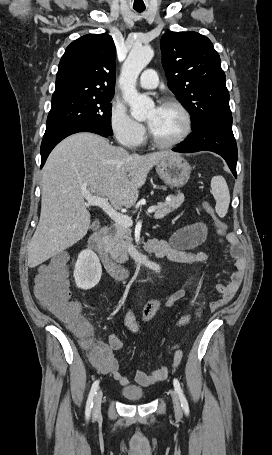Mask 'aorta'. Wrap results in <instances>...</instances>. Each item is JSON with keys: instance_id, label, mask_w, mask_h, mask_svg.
<instances>
[{"instance_id": "1", "label": "aorta", "mask_w": 272, "mask_h": 455, "mask_svg": "<svg viewBox=\"0 0 272 455\" xmlns=\"http://www.w3.org/2000/svg\"><path fill=\"white\" fill-rule=\"evenodd\" d=\"M154 56V51L149 46L134 47L125 60L119 82L122 87L124 100L130 106L134 119L144 120L148 112L154 108V102L146 95L138 93L136 81L140 72L148 65Z\"/></svg>"}]
</instances>
